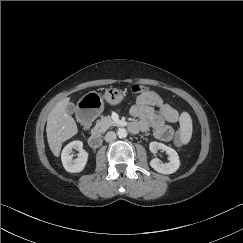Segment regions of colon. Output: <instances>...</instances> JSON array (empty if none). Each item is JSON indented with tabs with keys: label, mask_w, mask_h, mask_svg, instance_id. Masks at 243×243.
Wrapping results in <instances>:
<instances>
[{
	"label": "colon",
	"mask_w": 243,
	"mask_h": 243,
	"mask_svg": "<svg viewBox=\"0 0 243 243\" xmlns=\"http://www.w3.org/2000/svg\"><path fill=\"white\" fill-rule=\"evenodd\" d=\"M131 91L134 94H142V93H146L149 91V88L144 86V85H140V84H135L131 87ZM181 142V138L180 136L176 137V143H180Z\"/></svg>",
	"instance_id": "5ec220e1"
}]
</instances>
